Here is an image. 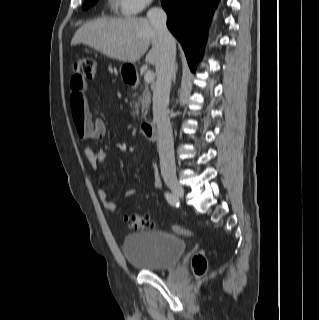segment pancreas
<instances>
[{"instance_id": "pancreas-1", "label": "pancreas", "mask_w": 319, "mask_h": 320, "mask_svg": "<svg viewBox=\"0 0 319 320\" xmlns=\"http://www.w3.org/2000/svg\"><path fill=\"white\" fill-rule=\"evenodd\" d=\"M135 96H137L136 102H134L135 104V113H138L139 107L141 106V111H142V115L143 117H146L148 110L150 108V103H151V94L148 90V87H145L142 95L138 96L136 93L134 94Z\"/></svg>"}]
</instances>
